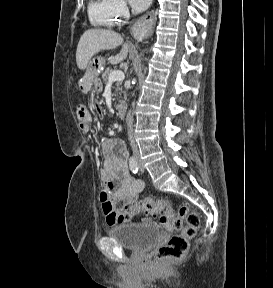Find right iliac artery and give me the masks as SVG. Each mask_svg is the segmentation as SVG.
Masks as SVG:
<instances>
[{"label":"right iliac artery","instance_id":"1","mask_svg":"<svg viewBox=\"0 0 273 288\" xmlns=\"http://www.w3.org/2000/svg\"><path fill=\"white\" fill-rule=\"evenodd\" d=\"M129 166H130V169L133 173H137L138 172V163L136 161V159L134 157H131L129 159Z\"/></svg>","mask_w":273,"mask_h":288}]
</instances>
